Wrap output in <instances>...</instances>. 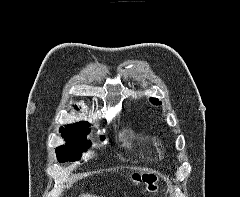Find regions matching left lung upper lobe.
I'll list each match as a JSON object with an SVG mask.
<instances>
[{
  "label": "left lung upper lobe",
  "mask_w": 240,
  "mask_h": 197,
  "mask_svg": "<svg viewBox=\"0 0 240 197\" xmlns=\"http://www.w3.org/2000/svg\"><path fill=\"white\" fill-rule=\"evenodd\" d=\"M150 101H151L154 105H160V104H161V102H159V100L156 99V98H150Z\"/></svg>",
  "instance_id": "5c2ea615"
}]
</instances>
